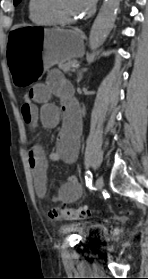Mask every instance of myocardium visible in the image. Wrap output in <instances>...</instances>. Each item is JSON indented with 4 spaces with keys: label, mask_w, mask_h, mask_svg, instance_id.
<instances>
[{
    "label": "myocardium",
    "mask_w": 148,
    "mask_h": 279,
    "mask_svg": "<svg viewBox=\"0 0 148 279\" xmlns=\"http://www.w3.org/2000/svg\"><path fill=\"white\" fill-rule=\"evenodd\" d=\"M36 1V9L37 11L47 17L48 19L52 20L54 23L57 24H74L81 20L80 17H74V18H65L61 16L56 9L50 5V0H35Z\"/></svg>",
    "instance_id": "obj_1"
}]
</instances>
